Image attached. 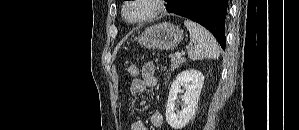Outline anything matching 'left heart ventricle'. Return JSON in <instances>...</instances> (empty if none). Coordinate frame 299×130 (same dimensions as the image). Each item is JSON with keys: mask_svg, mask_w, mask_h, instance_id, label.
<instances>
[{"mask_svg": "<svg viewBox=\"0 0 299 130\" xmlns=\"http://www.w3.org/2000/svg\"><path fill=\"white\" fill-rule=\"evenodd\" d=\"M143 11H144L143 8H133L129 11V16L130 17L138 16V15L142 14Z\"/></svg>", "mask_w": 299, "mask_h": 130, "instance_id": "b2bd125f", "label": "left heart ventricle"}]
</instances>
